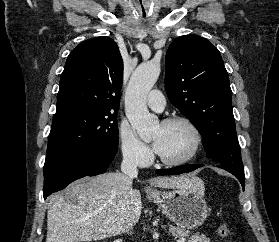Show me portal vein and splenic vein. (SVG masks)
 <instances>
[{
    "mask_svg": "<svg viewBox=\"0 0 279 242\" xmlns=\"http://www.w3.org/2000/svg\"><path fill=\"white\" fill-rule=\"evenodd\" d=\"M177 242H185V238H180Z\"/></svg>",
    "mask_w": 279,
    "mask_h": 242,
    "instance_id": "1",
    "label": "portal vein and splenic vein"
}]
</instances>
